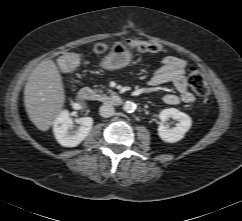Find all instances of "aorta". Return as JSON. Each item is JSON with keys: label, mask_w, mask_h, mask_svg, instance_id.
<instances>
[{"label": "aorta", "mask_w": 242, "mask_h": 221, "mask_svg": "<svg viewBox=\"0 0 242 221\" xmlns=\"http://www.w3.org/2000/svg\"><path fill=\"white\" fill-rule=\"evenodd\" d=\"M136 109V104L132 101H126L123 106V110L127 113H132Z\"/></svg>", "instance_id": "762f6f07"}]
</instances>
